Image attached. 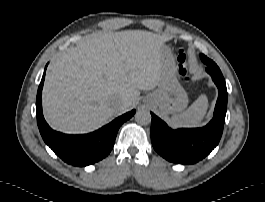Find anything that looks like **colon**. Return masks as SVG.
<instances>
[{"mask_svg": "<svg viewBox=\"0 0 265 202\" xmlns=\"http://www.w3.org/2000/svg\"><path fill=\"white\" fill-rule=\"evenodd\" d=\"M181 68H182L184 71H186V69H187L186 62H185L184 59L181 61Z\"/></svg>", "mask_w": 265, "mask_h": 202, "instance_id": "colon-1", "label": "colon"}]
</instances>
